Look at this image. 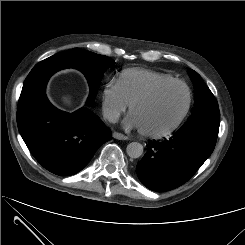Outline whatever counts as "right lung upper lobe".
Masks as SVG:
<instances>
[{
  "mask_svg": "<svg viewBox=\"0 0 245 245\" xmlns=\"http://www.w3.org/2000/svg\"><path fill=\"white\" fill-rule=\"evenodd\" d=\"M57 67L53 66L50 58L39 62L29 73L25 80V84L31 85L32 88L40 94H43L45 87L50 76L58 71Z\"/></svg>",
  "mask_w": 245,
  "mask_h": 245,
  "instance_id": "1",
  "label": "right lung upper lobe"
}]
</instances>
